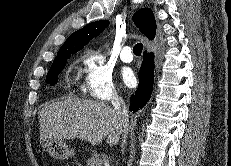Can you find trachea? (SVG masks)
I'll use <instances>...</instances> for the list:
<instances>
[{
    "label": "trachea",
    "instance_id": "obj_1",
    "mask_svg": "<svg viewBox=\"0 0 231 166\" xmlns=\"http://www.w3.org/2000/svg\"><path fill=\"white\" fill-rule=\"evenodd\" d=\"M142 50H143V44H142V43H137V44H135V46L133 47V53H134L136 56H141Z\"/></svg>",
    "mask_w": 231,
    "mask_h": 166
}]
</instances>
